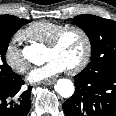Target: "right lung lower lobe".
Returning <instances> with one entry per match:
<instances>
[{"mask_svg": "<svg viewBox=\"0 0 116 116\" xmlns=\"http://www.w3.org/2000/svg\"><path fill=\"white\" fill-rule=\"evenodd\" d=\"M23 84L18 75L13 82L0 85V116H26L30 111L31 87L22 92Z\"/></svg>", "mask_w": 116, "mask_h": 116, "instance_id": "obj_1", "label": "right lung lower lobe"}]
</instances>
